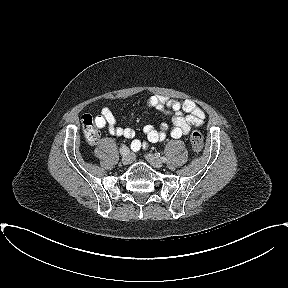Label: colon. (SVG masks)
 <instances>
[{"instance_id":"colon-1","label":"colon","mask_w":288,"mask_h":288,"mask_svg":"<svg viewBox=\"0 0 288 288\" xmlns=\"http://www.w3.org/2000/svg\"><path fill=\"white\" fill-rule=\"evenodd\" d=\"M81 123L86 140L89 143H95L99 139V131L91 115L85 114L81 118ZM192 149L196 153H200L203 149V136L198 130H194L190 136Z\"/></svg>"}]
</instances>
